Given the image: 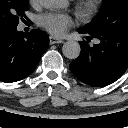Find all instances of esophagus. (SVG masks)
<instances>
[{"label":"esophagus","instance_id":"1","mask_svg":"<svg viewBox=\"0 0 128 128\" xmlns=\"http://www.w3.org/2000/svg\"><path fill=\"white\" fill-rule=\"evenodd\" d=\"M49 41H50L51 45L58 44V43H63V40L61 38L54 37V36H50Z\"/></svg>","mask_w":128,"mask_h":128}]
</instances>
